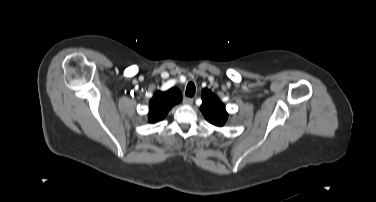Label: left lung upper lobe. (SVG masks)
<instances>
[{
	"label": "left lung upper lobe",
	"instance_id": "1",
	"mask_svg": "<svg viewBox=\"0 0 376 202\" xmlns=\"http://www.w3.org/2000/svg\"><path fill=\"white\" fill-rule=\"evenodd\" d=\"M202 99L200 110L206 120L215 126H224L228 118L224 104L207 88L202 92Z\"/></svg>",
	"mask_w": 376,
	"mask_h": 202
}]
</instances>
